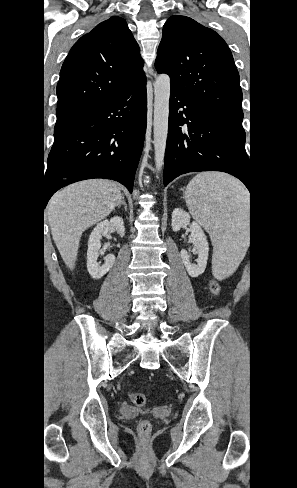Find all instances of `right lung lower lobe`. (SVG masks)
I'll return each mask as SVG.
<instances>
[{"mask_svg":"<svg viewBox=\"0 0 297 488\" xmlns=\"http://www.w3.org/2000/svg\"><path fill=\"white\" fill-rule=\"evenodd\" d=\"M146 78L54 129L48 156L44 206L60 188L105 178L132 192L146 130Z\"/></svg>","mask_w":297,"mask_h":488,"instance_id":"1","label":"right lung lower lobe"}]
</instances>
